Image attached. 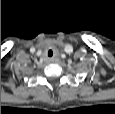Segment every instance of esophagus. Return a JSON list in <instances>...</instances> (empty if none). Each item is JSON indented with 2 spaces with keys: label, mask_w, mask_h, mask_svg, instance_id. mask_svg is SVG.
I'll return each instance as SVG.
<instances>
[{
  "label": "esophagus",
  "mask_w": 115,
  "mask_h": 114,
  "mask_svg": "<svg viewBox=\"0 0 115 114\" xmlns=\"http://www.w3.org/2000/svg\"><path fill=\"white\" fill-rule=\"evenodd\" d=\"M56 60H55V58H50L49 59V62H55Z\"/></svg>",
  "instance_id": "esophagus-1"
}]
</instances>
